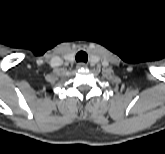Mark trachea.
<instances>
[{
    "mask_svg": "<svg viewBox=\"0 0 165 154\" xmlns=\"http://www.w3.org/2000/svg\"><path fill=\"white\" fill-rule=\"evenodd\" d=\"M76 61L77 62H87L88 61V55L84 51H79L76 54Z\"/></svg>",
    "mask_w": 165,
    "mask_h": 154,
    "instance_id": "trachea-1",
    "label": "trachea"
}]
</instances>
